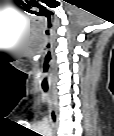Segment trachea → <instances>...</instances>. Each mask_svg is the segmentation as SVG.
<instances>
[{
    "mask_svg": "<svg viewBox=\"0 0 114 136\" xmlns=\"http://www.w3.org/2000/svg\"><path fill=\"white\" fill-rule=\"evenodd\" d=\"M45 72H47V70H45ZM41 86L44 92L48 91V83L46 81H43Z\"/></svg>",
    "mask_w": 114,
    "mask_h": 136,
    "instance_id": "trachea-1",
    "label": "trachea"
}]
</instances>
